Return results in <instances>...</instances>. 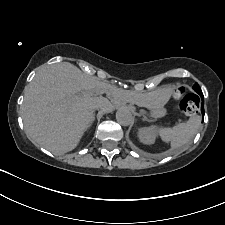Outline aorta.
Masks as SVG:
<instances>
[{
	"instance_id": "1",
	"label": "aorta",
	"mask_w": 225,
	"mask_h": 225,
	"mask_svg": "<svg viewBox=\"0 0 225 225\" xmlns=\"http://www.w3.org/2000/svg\"><path fill=\"white\" fill-rule=\"evenodd\" d=\"M116 120L122 126H130L133 124L131 112L125 108H121L116 112Z\"/></svg>"
}]
</instances>
